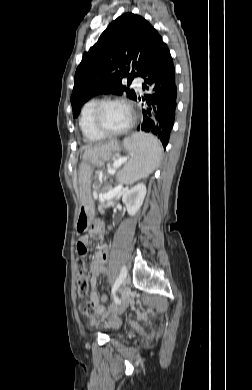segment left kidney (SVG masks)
I'll list each match as a JSON object with an SVG mask.
<instances>
[{
  "mask_svg": "<svg viewBox=\"0 0 252 390\" xmlns=\"http://www.w3.org/2000/svg\"><path fill=\"white\" fill-rule=\"evenodd\" d=\"M145 195L146 186L143 183H139L123 193L122 201L129 215L134 216L138 212L143 204Z\"/></svg>",
  "mask_w": 252,
  "mask_h": 390,
  "instance_id": "obj_1",
  "label": "left kidney"
}]
</instances>
